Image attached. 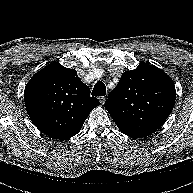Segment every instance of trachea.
Instances as JSON below:
<instances>
[{
	"label": "trachea",
	"instance_id": "1",
	"mask_svg": "<svg viewBox=\"0 0 193 193\" xmlns=\"http://www.w3.org/2000/svg\"><path fill=\"white\" fill-rule=\"evenodd\" d=\"M105 94H106V87H105L104 83L101 81H98L92 90V95L105 96Z\"/></svg>",
	"mask_w": 193,
	"mask_h": 193
}]
</instances>
